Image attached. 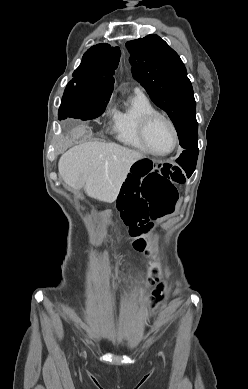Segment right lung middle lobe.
<instances>
[{
	"label": "right lung middle lobe",
	"instance_id": "right-lung-middle-lobe-1",
	"mask_svg": "<svg viewBox=\"0 0 248 389\" xmlns=\"http://www.w3.org/2000/svg\"><path fill=\"white\" fill-rule=\"evenodd\" d=\"M111 93L112 91L90 88L83 80L73 78L64 91L58 113L59 119L97 118L105 111Z\"/></svg>",
	"mask_w": 248,
	"mask_h": 389
}]
</instances>
